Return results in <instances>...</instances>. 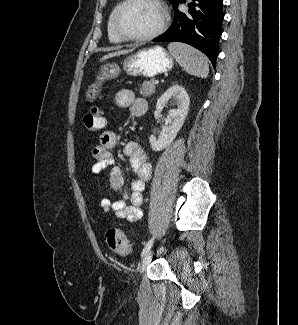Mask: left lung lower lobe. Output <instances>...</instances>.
Returning <instances> with one entry per match:
<instances>
[{"instance_id": "left-lung-lower-lobe-1", "label": "left lung lower lobe", "mask_w": 298, "mask_h": 325, "mask_svg": "<svg viewBox=\"0 0 298 325\" xmlns=\"http://www.w3.org/2000/svg\"><path fill=\"white\" fill-rule=\"evenodd\" d=\"M176 9L175 17L169 29L154 39V42H183L187 43L208 56L213 66H216L218 44L222 33L223 0H193L188 4V14Z\"/></svg>"}]
</instances>
